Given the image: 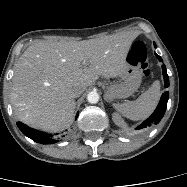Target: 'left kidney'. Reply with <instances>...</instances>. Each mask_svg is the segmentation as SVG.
<instances>
[{
    "mask_svg": "<svg viewBox=\"0 0 187 187\" xmlns=\"http://www.w3.org/2000/svg\"><path fill=\"white\" fill-rule=\"evenodd\" d=\"M112 119H113L114 123H115L116 125H118V126H124V125H125L123 119H122L121 116H120L119 114H117V113H114V114L112 115Z\"/></svg>",
    "mask_w": 187,
    "mask_h": 187,
    "instance_id": "left-kidney-1",
    "label": "left kidney"
}]
</instances>
